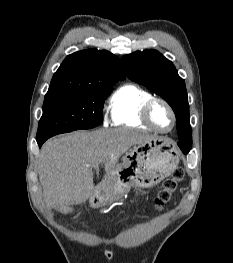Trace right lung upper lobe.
I'll use <instances>...</instances> for the list:
<instances>
[{
  "instance_id": "1",
  "label": "right lung upper lobe",
  "mask_w": 233,
  "mask_h": 263,
  "mask_svg": "<svg viewBox=\"0 0 233 263\" xmlns=\"http://www.w3.org/2000/svg\"><path fill=\"white\" fill-rule=\"evenodd\" d=\"M125 78L120 60L106 50L89 49L65 58L55 72L46 96L111 88Z\"/></svg>"
}]
</instances>
